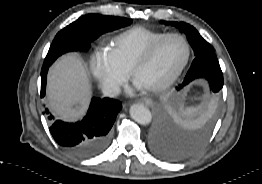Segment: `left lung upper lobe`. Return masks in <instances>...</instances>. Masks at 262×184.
Segmentation results:
<instances>
[{"label":"left lung upper lobe","instance_id":"1","mask_svg":"<svg viewBox=\"0 0 262 184\" xmlns=\"http://www.w3.org/2000/svg\"><path fill=\"white\" fill-rule=\"evenodd\" d=\"M162 23L166 25H173L177 27L181 32H184L187 36V39L192 46L194 50L195 56H199L204 53L208 52H215L214 48L204 39L201 37V35L198 33V31L188 23L184 22H170V21H161ZM194 77H192V71H188L187 75L184 78V81L181 85H179V89H182L187 84H189L191 81H193ZM205 79L209 82L210 90L213 92H218V90H221L223 87V78H217V79H211L206 78Z\"/></svg>","mask_w":262,"mask_h":184}]
</instances>
